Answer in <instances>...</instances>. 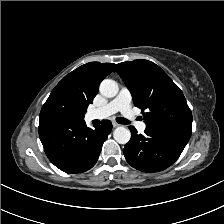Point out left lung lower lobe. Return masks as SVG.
<instances>
[{"instance_id":"obj_1","label":"left lung lower lobe","mask_w":224,"mask_h":224,"mask_svg":"<svg viewBox=\"0 0 224 224\" xmlns=\"http://www.w3.org/2000/svg\"><path fill=\"white\" fill-rule=\"evenodd\" d=\"M131 139L124 147V156L134 168L143 172H158L172 165L180 156L191 133L166 127L146 126L145 134L129 127Z\"/></svg>"}]
</instances>
